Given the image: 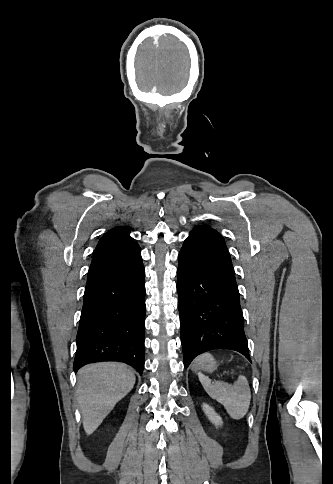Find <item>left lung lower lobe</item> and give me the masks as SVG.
<instances>
[{"label":"left lung lower lobe","instance_id":"obj_1","mask_svg":"<svg viewBox=\"0 0 333 484\" xmlns=\"http://www.w3.org/2000/svg\"><path fill=\"white\" fill-rule=\"evenodd\" d=\"M178 259L184 367L213 349L235 350L250 360L235 272L221 234L208 226L195 227Z\"/></svg>","mask_w":333,"mask_h":484}]
</instances>
